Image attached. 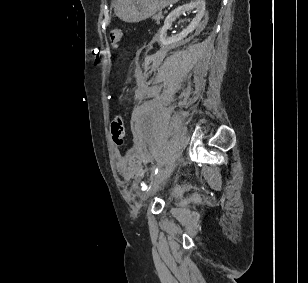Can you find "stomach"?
<instances>
[{
    "label": "stomach",
    "mask_w": 308,
    "mask_h": 283,
    "mask_svg": "<svg viewBox=\"0 0 308 283\" xmlns=\"http://www.w3.org/2000/svg\"><path fill=\"white\" fill-rule=\"evenodd\" d=\"M178 0H114V13L122 21L137 23Z\"/></svg>",
    "instance_id": "1"
}]
</instances>
